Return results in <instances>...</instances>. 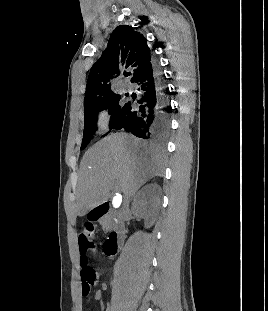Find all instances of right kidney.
<instances>
[{
    "label": "right kidney",
    "instance_id": "right-kidney-1",
    "mask_svg": "<svg viewBox=\"0 0 268 311\" xmlns=\"http://www.w3.org/2000/svg\"><path fill=\"white\" fill-rule=\"evenodd\" d=\"M161 187L152 183L144 186L135 196L133 214L145 220V228H150L156 221L161 207Z\"/></svg>",
    "mask_w": 268,
    "mask_h": 311
}]
</instances>
